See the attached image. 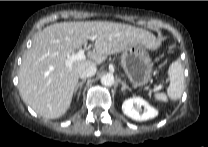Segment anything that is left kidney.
Segmentation results:
<instances>
[{
  "label": "left kidney",
  "instance_id": "5707ae66",
  "mask_svg": "<svg viewBox=\"0 0 208 147\" xmlns=\"http://www.w3.org/2000/svg\"><path fill=\"white\" fill-rule=\"evenodd\" d=\"M134 105H136V108ZM141 107L145 109L142 114H140ZM122 111L126 116L136 121H146L158 115V111L141 97L126 99L122 104Z\"/></svg>",
  "mask_w": 208,
  "mask_h": 147
}]
</instances>
